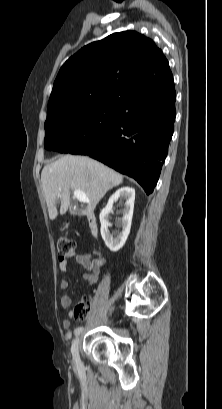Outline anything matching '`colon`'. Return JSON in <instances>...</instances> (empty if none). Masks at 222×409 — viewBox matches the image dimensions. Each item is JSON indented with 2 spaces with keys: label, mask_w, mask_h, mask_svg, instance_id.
<instances>
[{
  "label": "colon",
  "mask_w": 222,
  "mask_h": 409,
  "mask_svg": "<svg viewBox=\"0 0 222 409\" xmlns=\"http://www.w3.org/2000/svg\"><path fill=\"white\" fill-rule=\"evenodd\" d=\"M57 252L59 260L67 263L76 257V245L73 240L61 237L57 241ZM91 308V300L89 297H83L75 306L73 316L77 320L86 318Z\"/></svg>",
  "instance_id": "colon-1"
}]
</instances>
